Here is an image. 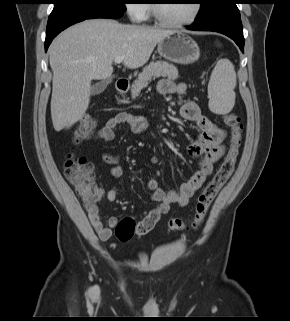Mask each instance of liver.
I'll use <instances>...</instances> for the list:
<instances>
[{"instance_id": "6515ba94", "label": "liver", "mask_w": 290, "mask_h": 321, "mask_svg": "<svg viewBox=\"0 0 290 321\" xmlns=\"http://www.w3.org/2000/svg\"><path fill=\"white\" fill-rule=\"evenodd\" d=\"M173 31L92 19L60 33L49 47L53 72L51 117L54 129L70 128L85 114L92 80L109 78L122 56L129 69L143 66L156 45Z\"/></svg>"}]
</instances>
